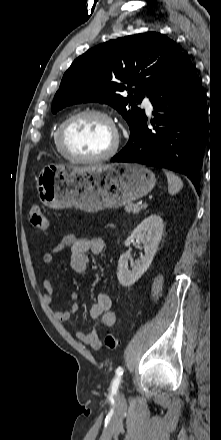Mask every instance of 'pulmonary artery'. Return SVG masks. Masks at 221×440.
<instances>
[{
  "label": "pulmonary artery",
  "mask_w": 221,
  "mask_h": 440,
  "mask_svg": "<svg viewBox=\"0 0 221 440\" xmlns=\"http://www.w3.org/2000/svg\"><path fill=\"white\" fill-rule=\"evenodd\" d=\"M143 106L146 108V110L148 112H152L153 111V105L150 101V99L148 97H144L143 101H142Z\"/></svg>",
  "instance_id": "1"
}]
</instances>
